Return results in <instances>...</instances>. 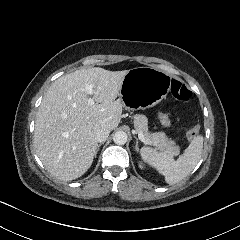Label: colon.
I'll return each instance as SVG.
<instances>
[{
  "instance_id": "colon-1",
  "label": "colon",
  "mask_w": 240,
  "mask_h": 240,
  "mask_svg": "<svg viewBox=\"0 0 240 240\" xmlns=\"http://www.w3.org/2000/svg\"><path fill=\"white\" fill-rule=\"evenodd\" d=\"M175 96L181 100L188 101L191 98V91L184 85H177L173 88ZM158 120L162 121V124L171 125V118L167 113H163L162 111L158 112ZM198 136V127L194 126L193 129L190 130V134H186V142L190 143L191 140H194L195 137Z\"/></svg>"
}]
</instances>
